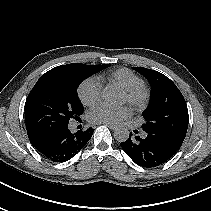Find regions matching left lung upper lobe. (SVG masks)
<instances>
[{"mask_svg": "<svg viewBox=\"0 0 211 211\" xmlns=\"http://www.w3.org/2000/svg\"><path fill=\"white\" fill-rule=\"evenodd\" d=\"M133 69L144 75L152 86L148 107L142 113L146 121L143 130L180 149L189 123L183 95L162 73L143 67Z\"/></svg>", "mask_w": 211, "mask_h": 211, "instance_id": "left-lung-upper-lobe-1", "label": "left lung upper lobe"}]
</instances>
